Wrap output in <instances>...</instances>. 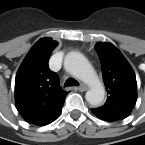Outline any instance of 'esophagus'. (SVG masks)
Wrapping results in <instances>:
<instances>
[{
  "label": "esophagus",
  "mask_w": 145,
  "mask_h": 145,
  "mask_svg": "<svg viewBox=\"0 0 145 145\" xmlns=\"http://www.w3.org/2000/svg\"><path fill=\"white\" fill-rule=\"evenodd\" d=\"M87 89H88L87 86L84 85V84H81V85L78 87V90H79L80 92H84V91H86Z\"/></svg>",
  "instance_id": "34e87169"
}]
</instances>
